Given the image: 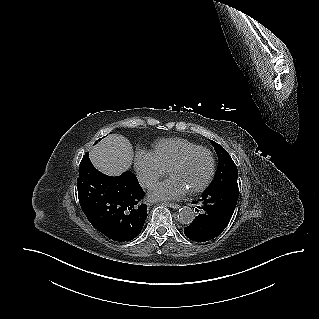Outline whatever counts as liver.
<instances>
[{
	"label": "liver",
	"instance_id": "1",
	"mask_svg": "<svg viewBox=\"0 0 319 319\" xmlns=\"http://www.w3.org/2000/svg\"><path fill=\"white\" fill-rule=\"evenodd\" d=\"M134 152L130 141L111 134L90 150L92 164L102 173L118 176L131 167Z\"/></svg>",
	"mask_w": 319,
	"mask_h": 319
}]
</instances>
